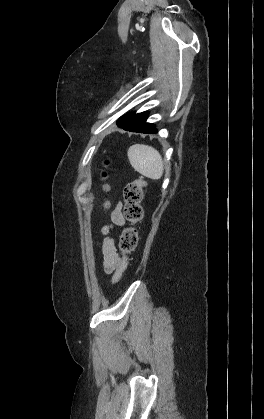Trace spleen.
<instances>
[{"label": "spleen", "mask_w": 264, "mask_h": 419, "mask_svg": "<svg viewBox=\"0 0 264 419\" xmlns=\"http://www.w3.org/2000/svg\"><path fill=\"white\" fill-rule=\"evenodd\" d=\"M128 158L135 171L157 180L163 175V162L159 152L151 146L134 144L128 149Z\"/></svg>", "instance_id": "1"}]
</instances>
